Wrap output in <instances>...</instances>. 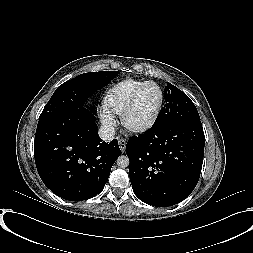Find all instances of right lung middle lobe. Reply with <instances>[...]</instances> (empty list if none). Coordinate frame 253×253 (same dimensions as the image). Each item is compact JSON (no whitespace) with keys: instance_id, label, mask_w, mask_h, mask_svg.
Instances as JSON below:
<instances>
[{"instance_id":"1","label":"right lung middle lobe","mask_w":253,"mask_h":253,"mask_svg":"<svg viewBox=\"0 0 253 253\" xmlns=\"http://www.w3.org/2000/svg\"><path fill=\"white\" fill-rule=\"evenodd\" d=\"M118 74L119 71L89 72L63 83L44 107L39 122L59 117L74 109L86 108V100ZM89 110L95 113L94 107Z\"/></svg>"}]
</instances>
